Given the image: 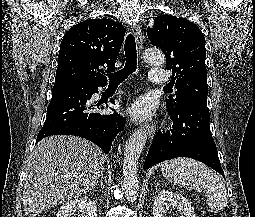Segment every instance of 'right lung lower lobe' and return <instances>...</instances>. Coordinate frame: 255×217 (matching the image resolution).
<instances>
[{
    "label": "right lung lower lobe",
    "instance_id": "1",
    "mask_svg": "<svg viewBox=\"0 0 255 217\" xmlns=\"http://www.w3.org/2000/svg\"><path fill=\"white\" fill-rule=\"evenodd\" d=\"M105 85L66 83L54 86L47 118L36 143L51 135H74L92 141L109 153L113 139L125 126V119L114 109V114L102 115L97 110L104 107L90 103L97 88Z\"/></svg>",
    "mask_w": 255,
    "mask_h": 217
}]
</instances>
